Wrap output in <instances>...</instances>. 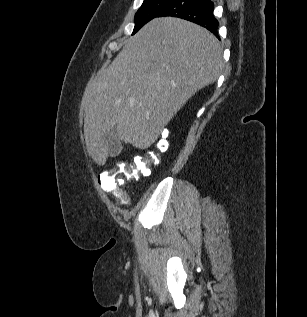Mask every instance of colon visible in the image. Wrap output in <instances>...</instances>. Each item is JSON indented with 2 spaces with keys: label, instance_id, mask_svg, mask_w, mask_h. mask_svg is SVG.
I'll use <instances>...</instances> for the list:
<instances>
[{
  "label": "colon",
  "instance_id": "1",
  "mask_svg": "<svg viewBox=\"0 0 307 317\" xmlns=\"http://www.w3.org/2000/svg\"><path fill=\"white\" fill-rule=\"evenodd\" d=\"M168 131L161 130L157 140L150 149L142 155L135 156L131 163L118 162L115 166L99 175L98 181L106 193L124 201L127 198L126 193L121 187L124 181L137 179L141 175H148L150 167L160 161V156L168 148Z\"/></svg>",
  "mask_w": 307,
  "mask_h": 317
}]
</instances>
